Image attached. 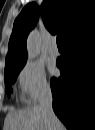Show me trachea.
Listing matches in <instances>:
<instances>
[{
    "label": "trachea",
    "instance_id": "trachea-1",
    "mask_svg": "<svg viewBox=\"0 0 95 130\" xmlns=\"http://www.w3.org/2000/svg\"><path fill=\"white\" fill-rule=\"evenodd\" d=\"M56 42H57V46H63L62 38L60 35L57 36Z\"/></svg>",
    "mask_w": 95,
    "mask_h": 130
}]
</instances>
